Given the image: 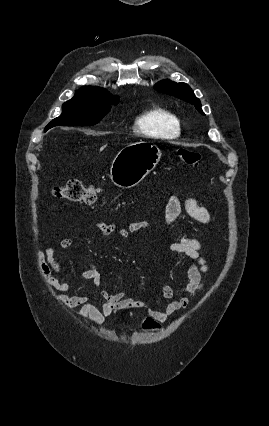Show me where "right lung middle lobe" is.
I'll use <instances>...</instances> for the list:
<instances>
[{
  "mask_svg": "<svg viewBox=\"0 0 269 426\" xmlns=\"http://www.w3.org/2000/svg\"><path fill=\"white\" fill-rule=\"evenodd\" d=\"M119 99L74 96L62 106V114L48 126L95 125L116 105Z\"/></svg>",
  "mask_w": 269,
  "mask_h": 426,
  "instance_id": "right-lung-middle-lobe-1",
  "label": "right lung middle lobe"
}]
</instances>
